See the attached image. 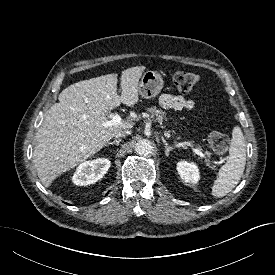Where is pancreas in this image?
<instances>
[{"mask_svg": "<svg viewBox=\"0 0 275 275\" xmlns=\"http://www.w3.org/2000/svg\"><path fill=\"white\" fill-rule=\"evenodd\" d=\"M148 111L152 116L156 117L157 121H159L160 123L163 122V119L165 118L164 111H162L161 109H157L156 107H151L148 109Z\"/></svg>", "mask_w": 275, "mask_h": 275, "instance_id": "pancreas-1", "label": "pancreas"}]
</instances>
